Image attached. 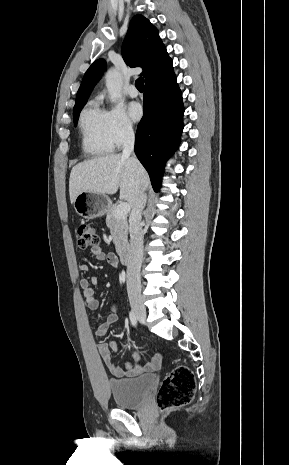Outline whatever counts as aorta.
<instances>
[{
	"instance_id": "aorta-1",
	"label": "aorta",
	"mask_w": 289,
	"mask_h": 465,
	"mask_svg": "<svg viewBox=\"0 0 289 465\" xmlns=\"http://www.w3.org/2000/svg\"><path fill=\"white\" fill-rule=\"evenodd\" d=\"M105 83L111 101H116L121 97L122 78L116 69H110L105 76Z\"/></svg>"
}]
</instances>
